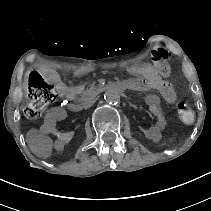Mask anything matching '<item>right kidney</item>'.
<instances>
[{"label":"right kidney","mask_w":211,"mask_h":211,"mask_svg":"<svg viewBox=\"0 0 211 211\" xmlns=\"http://www.w3.org/2000/svg\"><path fill=\"white\" fill-rule=\"evenodd\" d=\"M66 118V113L61 108L51 109L46 117V124L49 126L50 131L57 132L60 129L58 121H63ZM60 139L63 142H68L71 139V134L68 131H63L60 134Z\"/></svg>","instance_id":"1"}]
</instances>
